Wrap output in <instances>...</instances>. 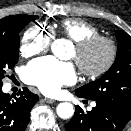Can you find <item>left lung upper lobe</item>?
<instances>
[{
  "label": "left lung upper lobe",
  "mask_w": 131,
  "mask_h": 131,
  "mask_svg": "<svg viewBox=\"0 0 131 131\" xmlns=\"http://www.w3.org/2000/svg\"><path fill=\"white\" fill-rule=\"evenodd\" d=\"M117 57L100 78L76 90L83 98L108 103L131 118V37L116 31Z\"/></svg>",
  "instance_id": "5c2ea615"
}]
</instances>
